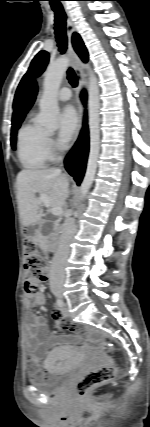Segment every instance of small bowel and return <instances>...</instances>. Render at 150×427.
Masks as SVG:
<instances>
[{"label": "small bowel", "instance_id": "obj_1", "mask_svg": "<svg viewBox=\"0 0 150 427\" xmlns=\"http://www.w3.org/2000/svg\"><path fill=\"white\" fill-rule=\"evenodd\" d=\"M45 298L43 292L39 291L28 296L27 306L33 308L44 303ZM64 312L61 309H56L53 312V317L56 324L68 334H73L76 329V324L73 320L63 318ZM79 344L77 336L70 335H55L50 334L48 324L45 318L41 315L29 313L27 316V343L26 347L30 356L32 366L29 369V376L33 379H43L45 374L37 367L40 361L39 352H45L48 348L56 345L74 346ZM54 360L53 355H48L45 359V366L51 364Z\"/></svg>", "mask_w": 150, "mask_h": 427}]
</instances>
